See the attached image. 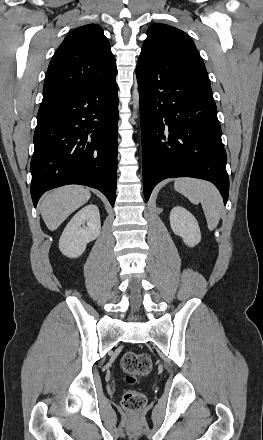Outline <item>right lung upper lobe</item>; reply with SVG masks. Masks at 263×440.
<instances>
[{"instance_id":"right-lung-upper-lobe-1","label":"right lung upper lobe","mask_w":263,"mask_h":440,"mask_svg":"<svg viewBox=\"0 0 263 440\" xmlns=\"http://www.w3.org/2000/svg\"><path fill=\"white\" fill-rule=\"evenodd\" d=\"M117 75L115 57L99 25L72 31L50 61L42 104Z\"/></svg>"}]
</instances>
